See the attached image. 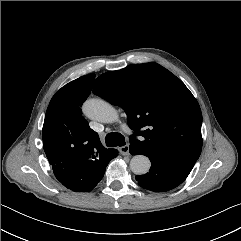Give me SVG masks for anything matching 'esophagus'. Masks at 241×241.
I'll use <instances>...</instances> for the list:
<instances>
[{"instance_id": "34e87169", "label": "esophagus", "mask_w": 241, "mask_h": 241, "mask_svg": "<svg viewBox=\"0 0 241 241\" xmlns=\"http://www.w3.org/2000/svg\"><path fill=\"white\" fill-rule=\"evenodd\" d=\"M120 153L122 155H129V144H126L120 148Z\"/></svg>"}]
</instances>
